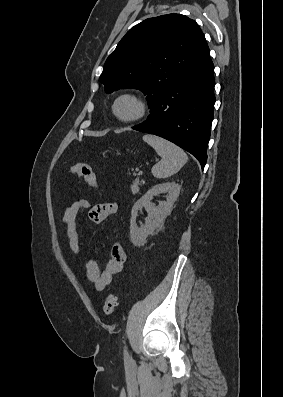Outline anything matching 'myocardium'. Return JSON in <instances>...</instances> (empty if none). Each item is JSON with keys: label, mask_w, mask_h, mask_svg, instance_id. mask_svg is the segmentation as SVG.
Here are the masks:
<instances>
[{"label": "myocardium", "mask_w": 283, "mask_h": 397, "mask_svg": "<svg viewBox=\"0 0 283 397\" xmlns=\"http://www.w3.org/2000/svg\"><path fill=\"white\" fill-rule=\"evenodd\" d=\"M123 99H131L137 104V112L130 117H122L117 113V105ZM149 110L148 102L144 97L135 92H124L118 95L112 104V113L116 119L123 123H133L141 120L146 116Z\"/></svg>", "instance_id": "1"}]
</instances>
